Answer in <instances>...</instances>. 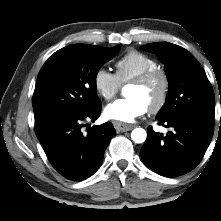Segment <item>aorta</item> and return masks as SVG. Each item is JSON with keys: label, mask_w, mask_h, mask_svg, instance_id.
<instances>
[{"label": "aorta", "mask_w": 221, "mask_h": 221, "mask_svg": "<svg viewBox=\"0 0 221 221\" xmlns=\"http://www.w3.org/2000/svg\"><path fill=\"white\" fill-rule=\"evenodd\" d=\"M147 133L142 128H135L131 133V138L135 143H143L146 140Z\"/></svg>", "instance_id": "1"}]
</instances>
